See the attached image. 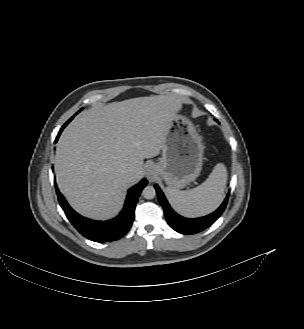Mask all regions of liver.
Listing matches in <instances>:
<instances>
[{
	"label": "liver",
	"instance_id": "6515ba94",
	"mask_svg": "<svg viewBox=\"0 0 304 329\" xmlns=\"http://www.w3.org/2000/svg\"><path fill=\"white\" fill-rule=\"evenodd\" d=\"M181 108V99L169 94L81 112L63 131L54 161L58 187L70 205L94 219L115 215L124 189L142 178L143 160L160 153L170 120ZM123 167L131 170L126 179Z\"/></svg>",
	"mask_w": 304,
	"mask_h": 329
}]
</instances>
